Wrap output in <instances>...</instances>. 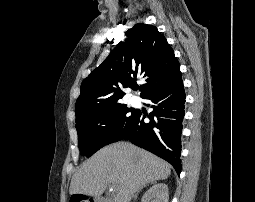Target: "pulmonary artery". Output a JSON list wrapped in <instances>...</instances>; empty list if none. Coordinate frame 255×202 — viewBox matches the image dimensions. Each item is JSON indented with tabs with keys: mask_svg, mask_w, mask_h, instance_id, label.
<instances>
[{
	"mask_svg": "<svg viewBox=\"0 0 255 202\" xmlns=\"http://www.w3.org/2000/svg\"><path fill=\"white\" fill-rule=\"evenodd\" d=\"M131 102H132L133 104H135V103H136V99H135V98L131 99Z\"/></svg>",
	"mask_w": 255,
	"mask_h": 202,
	"instance_id": "1",
	"label": "pulmonary artery"
}]
</instances>
